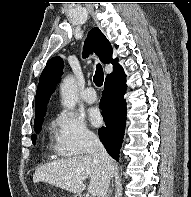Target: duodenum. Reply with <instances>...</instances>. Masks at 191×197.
Segmentation results:
<instances>
[{
  "mask_svg": "<svg viewBox=\"0 0 191 197\" xmlns=\"http://www.w3.org/2000/svg\"><path fill=\"white\" fill-rule=\"evenodd\" d=\"M75 197H81V195H76Z\"/></svg>",
  "mask_w": 191,
  "mask_h": 197,
  "instance_id": "duodenum-1",
  "label": "duodenum"
}]
</instances>
